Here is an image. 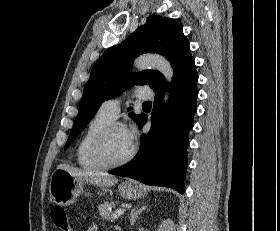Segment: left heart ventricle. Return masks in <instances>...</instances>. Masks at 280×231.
Listing matches in <instances>:
<instances>
[{
  "instance_id": "left-heart-ventricle-1",
  "label": "left heart ventricle",
  "mask_w": 280,
  "mask_h": 231,
  "mask_svg": "<svg viewBox=\"0 0 280 231\" xmlns=\"http://www.w3.org/2000/svg\"><path fill=\"white\" fill-rule=\"evenodd\" d=\"M131 148L125 143L123 128L116 127L111 130L105 143V154L108 159L116 161L125 157Z\"/></svg>"
}]
</instances>
